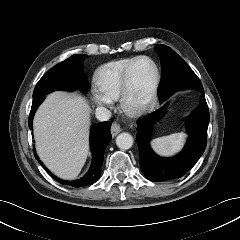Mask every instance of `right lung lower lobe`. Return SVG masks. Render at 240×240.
<instances>
[{"label": "right lung lower lobe", "instance_id": "obj_1", "mask_svg": "<svg viewBox=\"0 0 240 240\" xmlns=\"http://www.w3.org/2000/svg\"><path fill=\"white\" fill-rule=\"evenodd\" d=\"M45 95H40L35 98H33L32 102V107L30 111V116H29V121L28 125L29 128L32 129V121H33V116L38 108V106L42 103L44 100ZM110 127L111 123L106 121L102 123L95 124L91 127V132H90V148L92 151L93 159H92V164L87 172L86 175L81 177L80 179L73 180V181H66L57 178L54 176L44 165L41 161L39 163L41 166L49 173L55 180H57L61 184H66L70 185L73 187H81V186H86V185H91L94 182L98 180L101 174V168H102V163L104 159V151L108 143L111 141V133H110ZM35 147V146H33ZM35 151V149H34ZM37 154H35V157ZM36 159H39V157H36Z\"/></svg>", "mask_w": 240, "mask_h": 240}]
</instances>
